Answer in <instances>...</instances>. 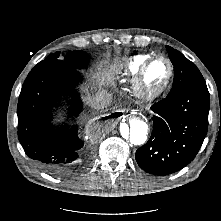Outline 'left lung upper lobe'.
Masks as SVG:
<instances>
[{
    "mask_svg": "<svg viewBox=\"0 0 221 221\" xmlns=\"http://www.w3.org/2000/svg\"><path fill=\"white\" fill-rule=\"evenodd\" d=\"M166 47L175 72L173 86L169 95L175 96L188 88L206 86L202 74L193 62L172 47Z\"/></svg>",
    "mask_w": 221,
    "mask_h": 221,
    "instance_id": "5c2ea615",
    "label": "left lung upper lobe"
}]
</instances>
